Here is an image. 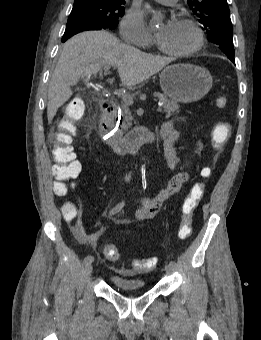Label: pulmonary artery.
<instances>
[{
  "label": "pulmonary artery",
  "mask_w": 261,
  "mask_h": 340,
  "mask_svg": "<svg viewBox=\"0 0 261 340\" xmlns=\"http://www.w3.org/2000/svg\"><path fill=\"white\" fill-rule=\"evenodd\" d=\"M161 4H165V5H168V4H172V3H175L177 0H155Z\"/></svg>",
  "instance_id": "obj_1"
}]
</instances>
